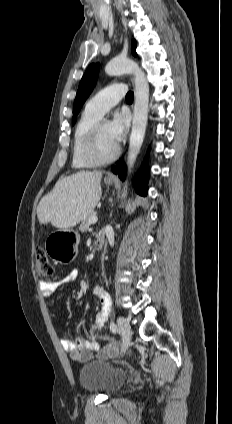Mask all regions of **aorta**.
Masks as SVG:
<instances>
[{
  "instance_id": "aorta-1",
  "label": "aorta",
  "mask_w": 232,
  "mask_h": 424,
  "mask_svg": "<svg viewBox=\"0 0 232 424\" xmlns=\"http://www.w3.org/2000/svg\"><path fill=\"white\" fill-rule=\"evenodd\" d=\"M105 72L110 76H117L126 73L134 75L135 104L133 110L132 131L129 140L127 165L132 169L136 158L140 152L148 119L149 85L145 73L137 63L128 58H114L105 67ZM127 193V183L122 196Z\"/></svg>"
}]
</instances>
